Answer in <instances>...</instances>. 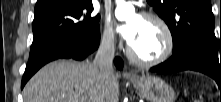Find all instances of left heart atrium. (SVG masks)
<instances>
[{
  "label": "left heart atrium",
  "instance_id": "obj_1",
  "mask_svg": "<svg viewBox=\"0 0 221 102\" xmlns=\"http://www.w3.org/2000/svg\"><path fill=\"white\" fill-rule=\"evenodd\" d=\"M139 19L140 17L136 16L130 22L119 26L121 35L128 43H131L137 35Z\"/></svg>",
  "mask_w": 221,
  "mask_h": 102
}]
</instances>
